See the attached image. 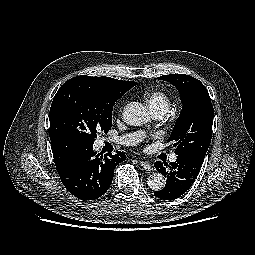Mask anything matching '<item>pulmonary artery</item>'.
<instances>
[{"label": "pulmonary artery", "mask_w": 255, "mask_h": 255, "mask_svg": "<svg viewBox=\"0 0 255 255\" xmlns=\"http://www.w3.org/2000/svg\"><path fill=\"white\" fill-rule=\"evenodd\" d=\"M166 114V111L159 110V111H154L153 115L156 119H162L164 115ZM141 139V134L140 133H133V134H128V135H123L120 137H110L108 138L109 142L119 144V145H134L137 144ZM177 160V156L174 154L170 157L171 162H175Z\"/></svg>", "instance_id": "1"}]
</instances>
